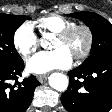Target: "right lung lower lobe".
Wrapping results in <instances>:
<instances>
[{
    "label": "right lung lower lobe",
    "mask_w": 112,
    "mask_h": 112,
    "mask_svg": "<svg viewBox=\"0 0 112 112\" xmlns=\"http://www.w3.org/2000/svg\"><path fill=\"white\" fill-rule=\"evenodd\" d=\"M23 69L21 58L0 69V112H25L31 104L33 92L40 83L33 75L18 82ZM11 80L15 83L11 84Z\"/></svg>",
    "instance_id": "right-lung-lower-lobe-1"
}]
</instances>
